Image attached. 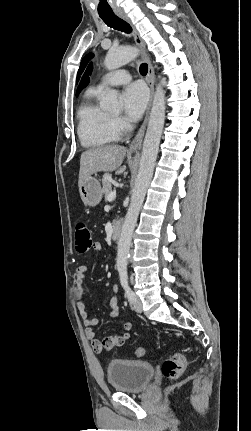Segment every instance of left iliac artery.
I'll list each match as a JSON object with an SVG mask.
<instances>
[{
	"label": "left iliac artery",
	"mask_w": 251,
	"mask_h": 431,
	"mask_svg": "<svg viewBox=\"0 0 251 431\" xmlns=\"http://www.w3.org/2000/svg\"><path fill=\"white\" fill-rule=\"evenodd\" d=\"M118 271H119L121 285L126 292V296H127L128 300L130 301V303H132L134 300V292L131 290V288L128 284L127 268L125 266H120L118 268Z\"/></svg>",
	"instance_id": "44dca946"
}]
</instances>
